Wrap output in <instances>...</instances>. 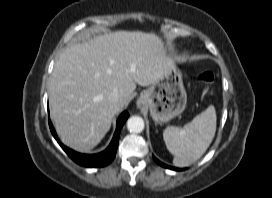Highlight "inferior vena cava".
<instances>
[{
	"instance_id": "1",
	"label": "inferior vena cava",
	"mask_w": 272,
	"mask_h": 198,
	"mask_svg": "<svg viewBox=\"0 0 272 198\" xmlns=\"http://www.w3.org/2000/svg\"><path fill=\"white\" fill-rule=\"evenodd\" d=\"M120 99V94H119V91L118 90H113L110 95H109V100L114 102V103H117Z\"/></svg>"
}]
</instances>
